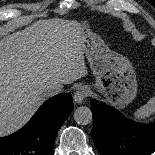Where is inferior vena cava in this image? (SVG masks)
Segmentation results:
<instances>
[{
  "mask_svg": "<svg viewBox=\"0 0 155 155\" xmlns=\"http://www.w3.org/2000/svg\"><path fill=\"white\" fill-rule=\"evenodd\" d=\"M62 91V86L60 84H50L44 90V95L46 97H52Z\"/></svg>",
  "mask_w": 155,
  "mask_h": 155,
  "instance_id": "1",
  "label": "inferior vena cava"
}]
</instances>
